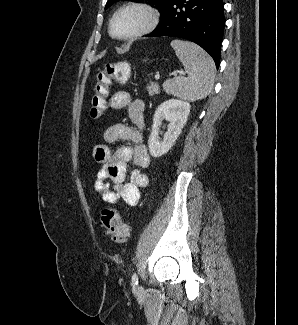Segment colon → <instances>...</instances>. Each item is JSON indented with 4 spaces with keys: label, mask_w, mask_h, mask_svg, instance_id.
<instances>
[{
    "label": "colon",
    "mask_w": 298,
    "mask_h": 325,
    "mask_svg": "<svg viewBox=\"0 0 298 325\" xmlns=\"http://www.w3.org/2000/svg\"><path fill=\"white\" fill-rule=\"evenodd\" d=\"M131 67L126 62L105 63L98 68L95 75L94 93L90 101L89 114L93 120L104 115L107 108L106 98L113 83L124 84L128 81ZM101 222L105 233L117 244H124L130 238V229L122 220L120 213L105 207L101 211Z\"/></svg>",
    "instance_id": "1"
}]
</instances>
